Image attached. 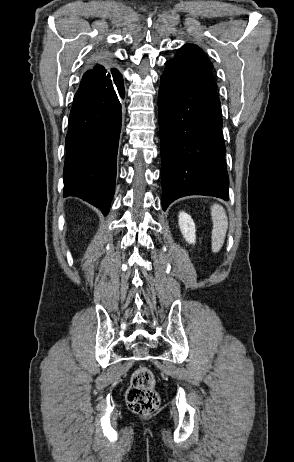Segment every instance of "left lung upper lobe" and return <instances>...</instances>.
<instances>
[{
	"instance_id": "left-lung-upper-lobe-1",
	"label": "left lung upper lobe",
	"mask_w": 294,
	"mask_h": 462,
	"mask_svg": "<svg viewBox=\"0 0 294 462\" xmlns=\"http://www.w3.org/2000/svg\"><path fill=\"white\" fill-rule=\"evenodd\" d=\"M174 59L181 60L207 70H212L213 68V65L208 57L196 45H184L178 50Z\"/></svg>"
}]
</instances>
